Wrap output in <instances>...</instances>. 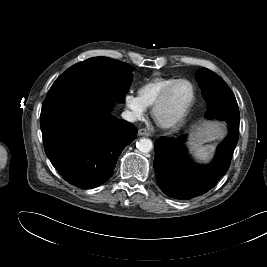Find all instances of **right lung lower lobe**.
Returning a JSON list of instances; mask_svg holds the SVG:
<instances>
[{
    "instance_id": "98d812e1",
    "label": "right lung lower lobe",
    "mask_w": 267,
    "mask_h": 267,
    "mask_svg": "<svg viewBox=\"0 0 267 267\" xmlns=\"http://www.w3.org/2000/svg\"><path fill=\"white\" fill-rule=\"evenodd\" d=\"M115 101L86 92L42 105L40 125L47 157L72 185L88 189L106 182L136 127L111 111Z\"/></svg>"
}]
</instances>
